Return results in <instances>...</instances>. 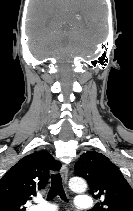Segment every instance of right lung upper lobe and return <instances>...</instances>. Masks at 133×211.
<instances>
[{"label":"right lung upper lobe","mask_w":133,"mask_h":211,"mask_svg":"<svg viewBox=\"0 0 133 211\" xmlns=\"http://www.w3.org/2000/svg\"><path fill=\"white\" fill-rule=\"evenodd\" d=\"M60 167V162L46 151L19 160L0 180V211H25L30 196L45 188L50 170Z\"/></svg>","instance_id":"right-lung-upper-lobe-1"}]
</instances>
